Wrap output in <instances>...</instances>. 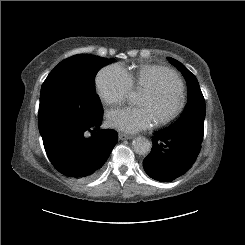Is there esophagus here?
<instances>
[{"label":"esophagus","instance_id":"esophagus-1","mask_svg":"<svg viewBox=\"0 0 245 245\" xmlns=\"http://www.w3.org/2000/svg\"><path fill=\"white\" fill-rule=\"evenodd\" d=\"M118 137L120 140H126V139H132L133 138L132 135L121 133V132L118 134Z\"/></svg>","mask_w":245,"mask_h":245}]
</instances>
